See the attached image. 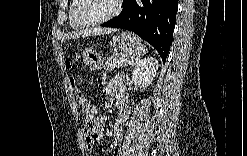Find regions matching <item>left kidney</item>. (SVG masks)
<instances>
[{
    "label": "left kidney",
    "mask_w": 247,
    "mask_h": 156,
    "mask_svg": "<svg viewBox=\"0 0 247 156\" xmlns=\"http://www.w3.org/2000/svg\"><path fill=\"white\" fill-rule=\"evenodd\" d=\"M159 67V62L154 57H146L136 63L132 71L133 83L145 90L153 81Z\"/></svg>",
    "instance_id": "obj_1"
}]
</instances>
